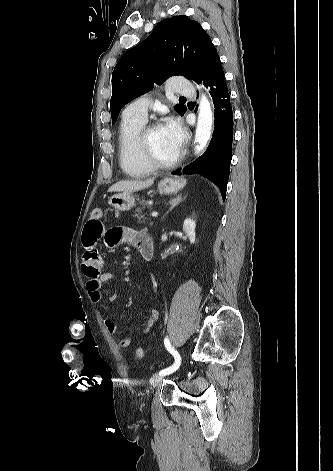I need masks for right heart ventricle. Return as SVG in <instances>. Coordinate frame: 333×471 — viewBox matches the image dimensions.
Segmentation results:
<instances>
[{
	"label": "right heart ventricle",
	"instance_id": "obj_1",
	"mask_svg": "<svg viewBox=\"0 0 333 471\" xmlns=\"http://www.w3.org/2000/svg\"><path fill=\"white\" fill-rule=\"evenodd\" d=\"M145 121L123 116L118 131V159L123 172L132 178L150 175L154 168L144 159L139 137Z\"/></svg>",
	"mask_w": 333,
	"mask_h": 471
}]
</instances>
